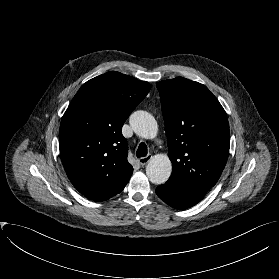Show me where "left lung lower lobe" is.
<instances>
[{
    "mask_svg": "<svg viewBox=\"0 0 279 279\" xmlns=\"http://www.w3.org/2000/svg\"><path fill=\"white\" fill-rule=\"evenodd\" d=\"M156 194L173 208L183 210L197 204L205 193L193 190L180 184L167 181L156 188Z\"/></svg>",
    "mask_w": 279,
    "mask_h": 279,
    "instance_id": "1",
    "label": "left lung lower lobe"
}]
</instances>
